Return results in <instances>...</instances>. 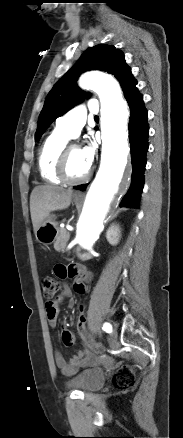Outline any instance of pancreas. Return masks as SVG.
<instances>
[{"label":"pancreas","instance_id":"1","mask_svg":"<svg viewBox=\"0 0 183 438\" xmlns=\"http://www.w3.org/2000/svg\"><path fill=\"white\" fill-rule=\"evenodd\" d=\"M69 239L70 233L67 232L65 229H59L58 236L54 243V249L57 252H64Z\"/></svg>","mask_w":183,"mask_h":438}]
</instances>
